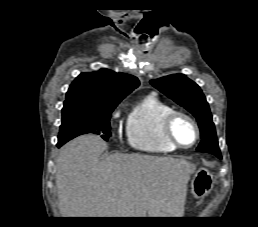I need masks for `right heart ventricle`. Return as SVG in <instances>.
<instances>
[{"label":"right heart ventricle","mask_w":258,"mask_h":227,"mask_svg":"<svg viewBox=\"0 0 258 227\" xmlns=\"http://www.w3.org/2000/svg\"><path fill=\"white\" fill-rule=\"evenodd\" d=\"M172 108L155 95H146L131 109L127 118V136L136 150L167 154L177 150L163 135L162 120Z\"/></svg>","instance_id":"right-heart-ventricle-1"}]
</instances>
